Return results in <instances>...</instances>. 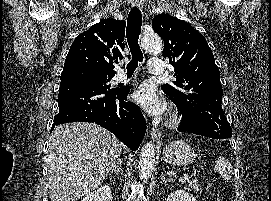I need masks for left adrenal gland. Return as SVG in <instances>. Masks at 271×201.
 I'll list each match as a JSON object with an SVG mask.
<instances>
[{"mask_svg": "<svg viewBox=\"0 0 271 201\" xmlns=\"http://www.w3.org/2000/svg\"><path fill=\"white\" fill-rule=\"evenodd\" d=\"M170 179H166L165 178V176H164V172H161V183H163V182H167V181H169Z\"/></svg>", "mask_w": 271, "mask_h": 201, "instance_id": "a2214340", "label": "left adrenal gland"}]
</instances>
